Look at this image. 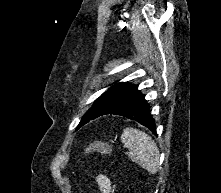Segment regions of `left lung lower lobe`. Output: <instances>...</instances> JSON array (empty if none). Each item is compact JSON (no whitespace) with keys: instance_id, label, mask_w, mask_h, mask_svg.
<instances>
[{"instance_id":"obj_1","label":"left lung lower lobe","mask_w":221,"mask_h":193,"mask_svg":"<svg viewBox=\"0 0 221 193\" xmlns=\"http://www.w3.org/2000/svg\"><path fill=\"white\" fill-rule=\"evenodd\" d=\"M137 85H129L100 115H121L135 120L156 134L155 121L150 114V107L140 93Z\"/></svg>"}]
</instances>
